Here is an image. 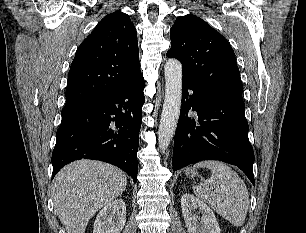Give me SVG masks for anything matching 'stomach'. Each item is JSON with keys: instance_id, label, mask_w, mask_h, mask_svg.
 <instances>
[{"instance_id": "0dacf381", "label": "stomach", "mask_w": 306, "mask_h": 233, "mask_svg": "<svg viewBox=\"0 0 306 233\" xmlns=\"http://www.w3.org/2000/svg\"><path fill=\"white\" fill-rule=\"evenodd\" d=\"M185 174L189 178H194L197 175V172L195 171V169L188 168L185 170Z\"/></svg>"}]
</instances>
